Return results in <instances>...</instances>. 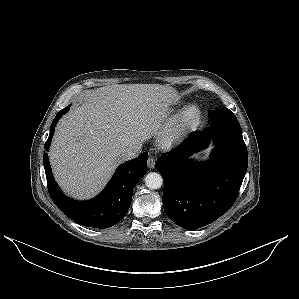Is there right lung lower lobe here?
<instances>
[{
    "label": "right lung lower lobe",
    "mask_w": 299,
    "mask_h": 299,
    "mask_svg": "<svg viewBox=\"0 0 299 299\" xmlns=\"http://www.w3.org/2000/svg\"><path fill=\"white\" fill-rule=\"evenodd\" d=\"M69 107L60 110L54 118L44 146L45 150L49 149L58 120L68 112ZM43 163L49 194L55 205L80 225L105 229L119 223L126 215L131 204L133 189L146 173L147 153L143 152L137 158L121 165L97 197L83 202L72 200L62 193L54 180L47 153L43 155Z\"/></svg>",
    "instance_id": "98d812e1"
}]
</instances>
